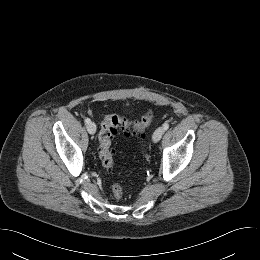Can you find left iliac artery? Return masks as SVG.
I'll return each instance as SVG.
<instances>
[{"instance_id": "1", "label": "left iliac artery", "mask_w": 260, "mask_h": 260, "mask_svg": "<svg viewBox=\"0 0 260 260\" xmlns=\"http://www.w3.org/2000/svg\"><path fill=\"white\" fill-rule=\"evenodd\" d=\"M169 128V124L168 123H164L163 124V129L164 131H166Z\"/></svg>"}]
</instances>
